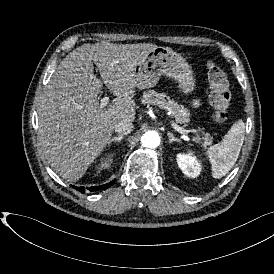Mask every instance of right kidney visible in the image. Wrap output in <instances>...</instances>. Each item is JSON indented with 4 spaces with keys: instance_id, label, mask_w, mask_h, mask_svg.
Here are the masks:
<instances>
[{
    "instance_id": "ca27d5eb",
    "label": "right kidney",
    "mask_w": 274,
    "mask_h": 274,
    "mask_svg": "<svg viewBox=\"0 0 274 274\" xmlns=\"http://www.w3.org/2000/svg\"><path fill=\"white\" fill-rule=\"evenodd\" d=\"M100 161L99 169L107 168L113 161V154H107L105 157L101 158Z\"/></svg>"
}]
</instances>
